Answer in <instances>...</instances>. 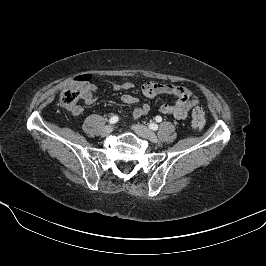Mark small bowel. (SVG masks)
<instances>
[{"label":"small bowel","instance_id":"obj_1","mask_svg":"<svg viewBox=\"0 0 266 266\" xmlns=\"http://www.w3.org/2000/svg\"><path fill=\"white\" fill-rule=\"evenodd\" d=\"M111 87L116 91H129L134 88L132 82L123 83H110ZM98 88L91 82H85L81 88V98L85 104L91 105L96 101V94ZM141 92L145 97L152 98L158 94L166 93L176 96V101L173 104H162L159 107L161 114L173 116L175 119L182 120L188 115L189 110L193 105H195L198 100L193 95V93L182 85L166 84L150 81L142 85ZM122 101L125 104H135L138 99L131 94H124L122 96ZM83 109L81 106H77L71 114L78 116L82 113ZM150 111V105L148 103H143L141 106L137 107L133 112L134 119H138L145 116Z\"/></svg>","mask_w":266,"mask_h":266}]
</instances>
